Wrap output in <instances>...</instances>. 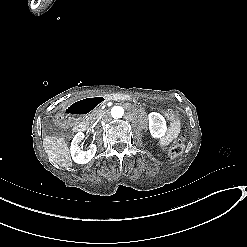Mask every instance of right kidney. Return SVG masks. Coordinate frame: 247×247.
Listing matches in <instances>:
<instances>
[{"label": "right kidney", "mask_w": 247, "mask_h": 247, "mask_svg": "<svg viewBox=\"0 0 247 247\" xmlns=\"http://www.w3.org/2000/svg\"><path fill=\"white\" fill-rule=\"evenodd\" d=\"M84 139V133L79 132L75 135L72 144H71V156L74 162L78 164H87L92 158L95 156L97 151V146L95 143H91L89 145V149L87 151L80 149V144Z\"/></svg>", "instance_id": "1"}]
</instances>
